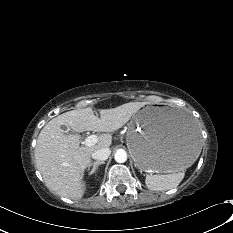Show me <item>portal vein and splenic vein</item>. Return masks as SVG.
I'll return each instance as SVG.
<instances>
[{
    "label": "portal vein and splenic vein",
    "mask_w": 233,
    "mask_h": 233,
    "mask_svg": "<svg viewBox=\"0 0 233 233\" xmlns=\"http://www.w3.org/2000/svg\"><path fill=\"white\" fill-rule=\"evenodd\" d=\"M97 142H98V137L96 135H90L84 141L85 146L87 147L94 146Z\"/></svg>",
    "instance_id": "obj_1"
}]
</instances>
